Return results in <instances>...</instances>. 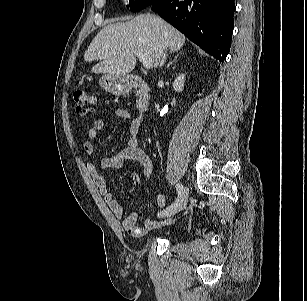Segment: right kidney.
I'll return each instance as SVG.
<instances>
[{
  "label": "right kidney",
  "instance_id": "ca27d5eb",
  "mask_svg": "<svg viewBox=\"0 0 307 301\" xmlns=\"http://www.w3.org/2000/svg\"><path fill=\"white\" fill-rule=\"evenodd\" d=\"M184 82H185V75L184 74L178 75L173 82L174 90L176 92H182L184 88Z\"/></svg>",
  "mask_w": 307,
  "mask_h": 301
}]
</instances>
